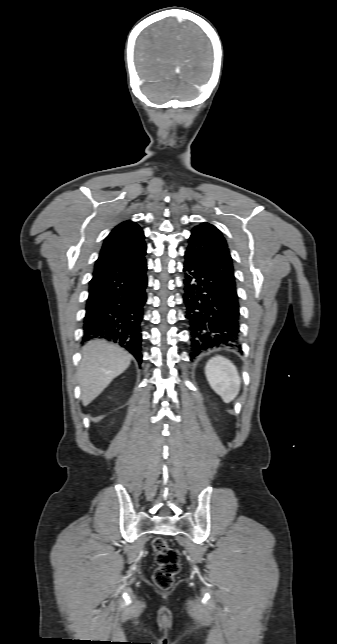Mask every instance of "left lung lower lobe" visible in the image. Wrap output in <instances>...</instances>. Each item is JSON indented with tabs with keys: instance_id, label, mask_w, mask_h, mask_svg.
Wrapping results in <instances>:
<instances>
[{
	"instance_id": "obj_1",
	"label": "left lung lower lobe",
	"mask_w": 337,
	"mask_h": 644,
	"mask_svg": "<svg viewBox=\"0 0 337 644\" xmlns=\"http://www.w3.org/2000/svg\"><path fill=\"white\" fill-rule=\"evenodd\" d=\"M183 271L190 356L219 347L240 348L236 288L209 263L190 253H185Z\"/></svg>"
}]
</instances>
